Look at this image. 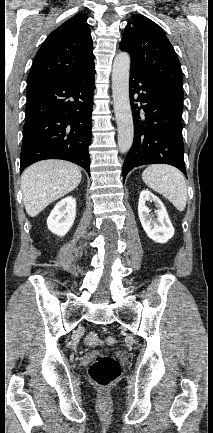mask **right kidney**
Instances as JSON below:
<instances>
[{
  "label": "right kidney",
  "mask_w": 213,
  "mask_h": 433,
  "mask_svg": "<svg viewBox=\"0 0 213 433\" xmlns=\"http://www.w3.org/2000/svg\"><path fill=\"white\" fill-rule=\"evenodd\" d=\"M76 217V200L69 196L58 202L47 218L48 229L64 236L72 227Z\"/></svg>",
  "instance_id": "1"
}]
</instances>
